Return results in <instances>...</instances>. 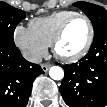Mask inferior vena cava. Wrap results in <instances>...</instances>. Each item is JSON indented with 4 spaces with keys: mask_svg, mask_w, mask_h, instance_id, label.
I'll use <instances>...</instances> for the list:
<instances>
[{
    "mask_svg": "<svg viewBox=\"0 0 107 107\" xmlns=\"http://www.w3.org/2000/svg\"><path fill=\"white\" fill-rule=\"evenodd\" d=\"M23 57L32 63L38 64L42 62V57L37 53L24 52Z\"/></svg>",
    "mask_w": 107,
    "mask_h": 107,
    "instance_id": "602c4592",
    "label": "inferior vena cava"
}]
</instances>
